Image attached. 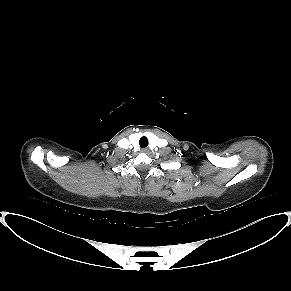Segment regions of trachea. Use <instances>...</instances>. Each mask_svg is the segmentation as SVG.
I'll return each mask as SVG.
<instances>
[{"label": "trachea", "mask_w": 291, "mask_h": 291, "mask_svg": "<svg viewBox=\"0 0 291 291\" xmlns=\"http://www.w3.org/2000/svg\"><path fill=\"white\" fill-rule=\"evenodd\" d=\"M139 145L141 148L147 147L148 146V138L145 136L141 137L139 140Z\"/></svg>", "instance_id": "trachea-1"}]
</instances>
